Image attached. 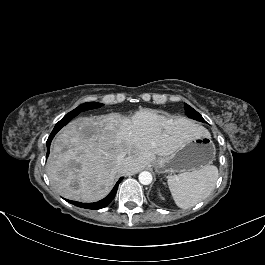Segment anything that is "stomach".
<instances>
[{
	"label": "stomach",
	"instance_id": "obj_1",
	"mask_svg": "<svg viewBox=\"0 0 265 265\" xmlns=\"http://www.w3.org/2000/svg\"><path fill=\"white\" fill-rule=\"evenodd\" d=\"M215 153L209 133L186 137L172 154L156 160L154 167L158 173L195 171L210 165Z\"/></svg>",
	"mask_w": 265,
	"mask_h": 265
}]
</instances>
